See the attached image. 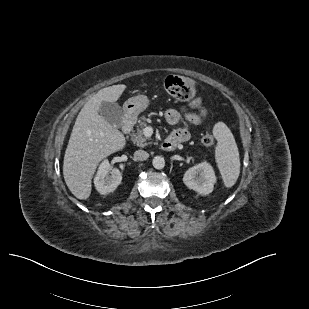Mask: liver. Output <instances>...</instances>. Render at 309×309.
Segmentation results:
<instances>
[{"label":"liver","instance_id":"obj_1","mask_svg":"<svg viewBox=\"0 0 309 309\" xmlns=\"http://www.w3.org/2000/svg\"><path fill=\"white\" fill-rule=\"evenodd\" d=\"M125 89L126 85L119 84L99 90L77 116L64 155L63 176L80 200L89 198L99 162L126 144L124 135L99 114L102 102H116Z\"/></svg>","mask_w":309,"mask_h":309}]
</instances>
